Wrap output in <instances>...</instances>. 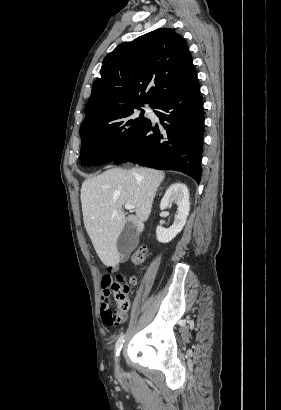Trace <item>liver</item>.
<instances>
[{
	"label": "liver",
	"mask_w": 281,
	"mask_h": 410,
	"mask_svg": "<svg viewBox=\"0 0 281 410\" xmlns=\"http://www.w3.org/2000/svg\"><path fill=\"white\" fill-rule=\"evenodd\" d=\"M164 177V172L149 168H113L83 182L80 197L84 226L104 265L120 263L117 240L127 222L137 228L138 234L144 230ZM125 204L135 207V215L126 217L122 210Z\"/></svg>",
	"instance_id": "6515ba94"
}]
</instances>
